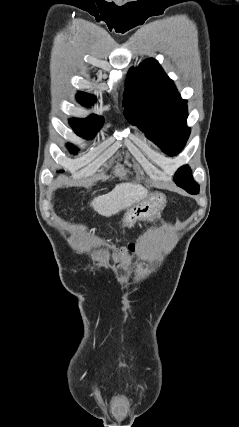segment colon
Returning a JSON list of instances; mask_svg holds the SVG:
<instances>
[{"instance_id": "5ec220e1", "label": "colon", "mask_w": 239, "mask_h": 427, "mask_svg": "<svg viewBox=\"0 0 239 427\" xmlns=\"http://www.w3.org/2000/svg\"><path fill=\"white\" fill-rule=\"evenodd\" d=\"M136 250V245L134 243H129L125 246H121L119 248H113V251L121 257L123 261L128 259V256L134 253Z\"/></svg>"}]
</instances>
